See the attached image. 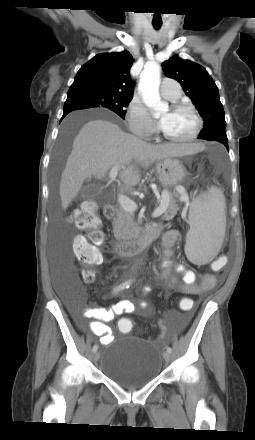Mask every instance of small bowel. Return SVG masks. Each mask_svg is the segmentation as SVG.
Listing matches in <instances>:
<instances>
[{
    "label": "small bowel",
    "instance_id": "c3829d8e",
    "mask_svg": "<svg viewBox=\"0 0 255 440\" xmlns=\"http://www.w3.org/2000/svg\"><path fill=\"white\" fill-rule=\"evenodd\" d=\"M179 237V232L176 229L167 231L163 236V260L161 263L162 270L157 278L164 283L168 290L180 292L187 296H200L204 292L214 287L215 279L214 277H205L202 279V281H198V277L195 272L187 269L184 265L174 263L171 260L173 247L179 240ZM172 269L178 273H181L182 277H176L173 274ZM145 291L148 292L149 288H145ZM129 313L147 314L148 304L144 301L133 303L131 301L122 300L115 303L110 308H85L82 311V317L94 319L89 323V329L94 335L99 337L102 345H106L112 342L114 339L111 328L107 325V322L113 321L120 315ZM76 319L80 326L83 327L82 319L79 316H77Z\"/></svg>",
    "mask_w": 255,
    "mask_h": 440
}]
</instances>
